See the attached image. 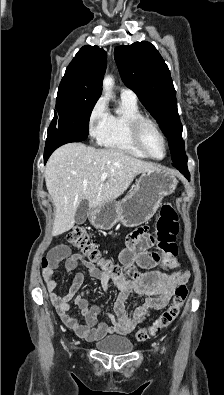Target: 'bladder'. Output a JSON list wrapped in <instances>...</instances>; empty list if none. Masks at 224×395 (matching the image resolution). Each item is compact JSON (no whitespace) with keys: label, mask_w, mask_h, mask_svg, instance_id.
Masks as SVG:
<instances>
[{"label":"bladder","mask_w":224,"mask_h":395,"mask_svg":"<svg viewBox=\"0 0 224 395\" xmlns=\"http://www.w3.org/2000/svg\"><path fill=\"white\" fill-rule=\"evenodd\" d=\"M95 347L101 353L119 355L130 353L134 345L127 337L109 336L98 341Z\"/></svg>","instance_id":"1"}]
</instances>
